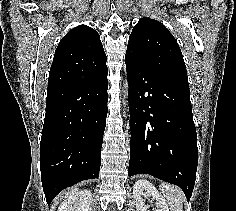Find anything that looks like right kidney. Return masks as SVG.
Instances as JSON below:
<instances>
[{"label":"right kidney","instance_id":"ca27d5eb","mask_svg":"<svg viewBox=\"0 0 236 211\" xmlns=\"http://www.w3.org/2000/svg\"><path fill=\"white\" fill-rule=\"evenodd\" d=\"M92 194L90 190H82L67 197L58 211H88Z\"/></svg>","mask_w":236,"mask_h":211}]
</instances>
